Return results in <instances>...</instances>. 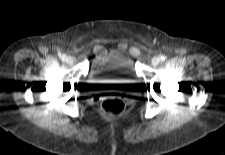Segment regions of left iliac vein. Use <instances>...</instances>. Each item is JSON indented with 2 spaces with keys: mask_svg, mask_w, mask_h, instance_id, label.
Here are the masks:
<instances>
[{
  "mask_svg": "<svg viewBox=\"0 0 225 155\" xmlns=\"http://www.w3.org/2000/svg\"><path fill=\"white\" fill-rule=\"evenodd\" d=\"M159 62H160V59H159L158 57H153V58H152V64H153V65H158Z\"/></svg>",
  "mask_w": 225,
  "mask_h": 155,
  "instance_id": "left-iliac-vein-1",
  "label": "left iliac vein"
}]
</instances>
